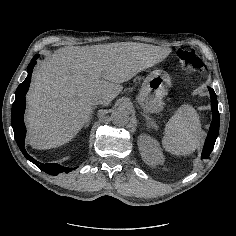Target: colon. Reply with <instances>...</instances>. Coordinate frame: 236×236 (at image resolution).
Listing matches in <instances>:
<instances>
[{"label": "colon", "mask_w": 236, "mask_h": 236, "mask_svg": "<svg viewBox=\"0 0 236 236\" xmlns=\"http://www.w3.org/2000/svg\"><path fill=\"white\" fill-rule=\"evenodd\" d=\"M178 64L198 77L206 76V68L200 55L194 48H182L177 51Z\"/></svg>", "instance_id": "obj_1"}]
</instances>
